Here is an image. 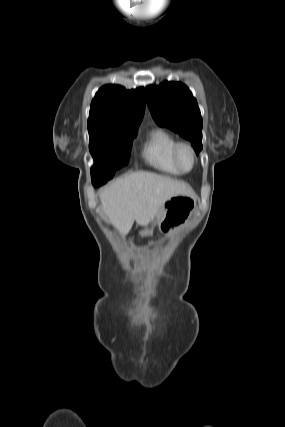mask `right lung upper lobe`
I'll return each instance as SVG.
<instances>
[{
    "mask_svg": "<svg viewBox=\"0 0 285 427\" xmlns=\"http://www.w3.org/2000/svg\"><path fill=\"white\" fill-rule=\"evenodd\" d=\"M145 111L144 89L119 85L99 89L91 103L88 127L139 126Z\"/></svg>",
    "mask_w": 285,
    "mask_h": 427,
    "instance_id": "1",
    "label": "right lung upper lobe"
}]
</instances>
